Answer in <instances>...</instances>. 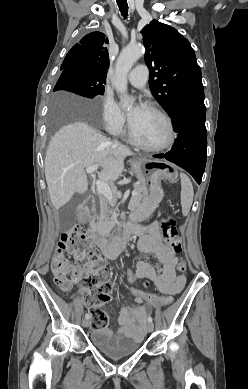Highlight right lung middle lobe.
<instances>
[{"instance_id": "right-lung-middle-lobe-1", "label": "right lung middle lobe", "mask_w": 248, "mask_h": 389, "mask_svg": "<svg viewBox=\"0 0 248 389\" xmlns=\"http://www.w3.org/2000/svg\"><path fill=\"white\" fill-rule=\"evenodd\" d=\"M62 70V69H61ZM106 79L79 69H63V72L55 85L54 91L66 90L86 98H94L104 94ZM80 112L93 117L96 110L92 106L79 108Z\"/></svg>"}]
</instances>
